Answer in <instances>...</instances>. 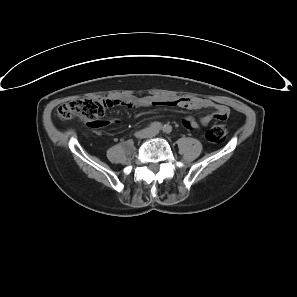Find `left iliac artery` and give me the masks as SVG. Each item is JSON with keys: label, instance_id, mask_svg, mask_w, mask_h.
Masks as SVG:
<instances>
[{"label": "left iliac artery", "instance_id": "44dca946", "mask_svg": "<svg viewBox=\"0 0 297 297\" xmlns=\"http://www.w3.org/2000/svg\"><path fill=\"white\" fill-rule=\"evenodd\" d=\"M163 131H164L165 133H170V132H171V126H169V125H165L164 128H163Z\"/></svg>", "mask_w": 297, "mask_h": 297}]
</instances>
